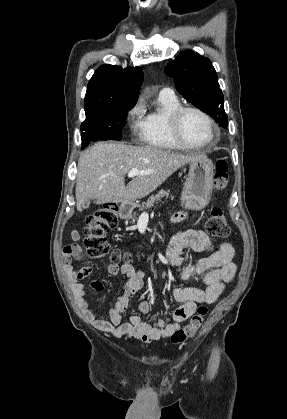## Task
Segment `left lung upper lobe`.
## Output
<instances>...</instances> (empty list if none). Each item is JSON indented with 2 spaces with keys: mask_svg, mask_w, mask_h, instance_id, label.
Wrapping results in <instances>:
<instances>
[{
  "mask_svg": "<svg viewBox=\"0 0 287 419\" xmlns=\"http://www.w3.org/2000/svg\"><path fill=\"white\" fill-rule=\"evenodd\" d=\"M175 87L194 106L206 112L222 127H227L223 93L211 61L192 50L181 52L165 67Z\"/></svg>",
  "mask_w": 287,
  "mask_h": 419,
  "instance_id": "obj_1",
  "label": "left lung upper lobe"
}]
</instances>
